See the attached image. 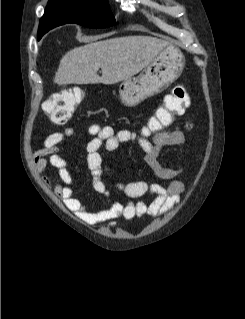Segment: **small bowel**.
Here are the masks:
<instances>
[{"label":"small bowel","mask_w":245,"mask_h":319,"mask_svg":"<svg viewBox=\"0 0 245 319\" xmlns=\"http://www.w3.org/2000/svg\"><path fill=\"white\" fill-rule=\"evenodd\" d=\"M179 88L183 87L176 86L173 91ZM184 102L186 106L189 105L187 93ZM189 128L190 123H186L183 128L175 125L173 128L155 133L151 139H147L127 129L115 132L110 126L90 125L88 133L93 138L86 145V161L92 175L95 191L104 196L109 204L106 209H92L73 196V178L69 162L58 152L60 144L66 138L75 135L74 128L68 127L47 136L43 147L34 154L35 167L38 172H43L49 165L58 170L59 178L55 179L53 183L47 176H44L43 179L46 184L52 186L55 194L63 200L65 206L84 222L112 227L119 219L131 220L143 216L158 217L172 209L184 191L183 183L176 180L180 173L179 170L163 166L158 157L161 151L167 147H183L185 131ZM133 141L137 142L145 152V163L153 175L159 180L171 182L164 186L144 180L115 181V187L127 200L123 202L112 201L110 187L103 181V175H110V170L104 165L101 149L104 148L111 152L120 144ZM145 197H151V200L146 201ZM135 199L136 201H134Z\"/></svg>","instance_id":"obj_1"}]
</instances>
